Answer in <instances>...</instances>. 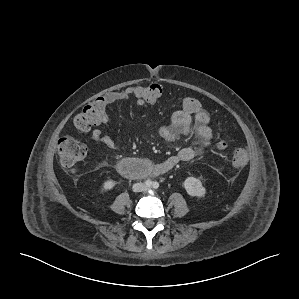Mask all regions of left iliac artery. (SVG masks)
Segmentation results:
<instances>
[{
  "label": "left iliac artery",
  "instance_id": "obj_1",
  "mask_svg": "<svg viewBox=\"0 0 299 299\" xmlns=\"http://www.w3.org/2000/svg\"><path fill=\"white\" fill-rule=\"evenodd\" d=\"M158 187H159V183H158V182H154V183H153V188H154V189H157Z\"/></svg>",
  "mask_w": 299,
  "mask_h": 299
}]
</instances>
